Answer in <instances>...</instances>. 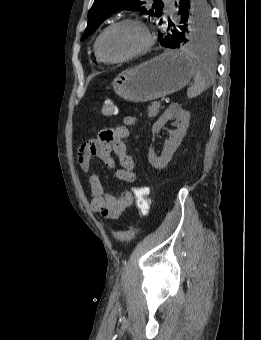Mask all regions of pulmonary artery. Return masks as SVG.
<instances>
[{
  "label": "pulmonary artery",
  "instance_id": "1",
  "mask_svg": "<svg viewBox=\"0 0 261 340\" xmlns=\"http://www.w3.org/2000/svg\"><path fill=\"white\" fill-rule=\"evenodd\" d=\"M165 2H166V5L168 7H170L172 5V0H165Z\"/></svg>",
  "mask_w": 261,
  "mask_h": 340
}]
</instances>
